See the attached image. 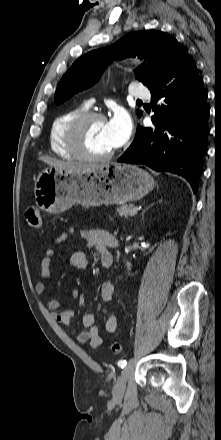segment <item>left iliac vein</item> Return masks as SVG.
Segmentation results:
<instances>
[{"mask_svg": "<svg viewBox=\"0 0 221 440\" xmlns=\"http://www.w3.org/2000/svg\"><path fill=\"white\" fill-rule=\"evenodd\" d=\"M132 363L127 364V366H125L123 368V370L121 371V376L118 379L117 383L114 385L113 387V397L115 399H120L122 398L124 391H125V387H126V382L128 381L131 373H132Z\"/></svg>", "mask_w": 221, "mask_h": 440, "instance_id": "obj_1", "label": "left iliac vein"}]
</instances>
